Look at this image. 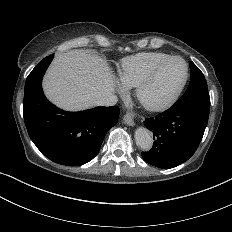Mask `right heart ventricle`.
Wrapping results in <instances>:
<instances>
[{
	"label": "right heart ventricle",
	"instance_id": "e07e8e85",
	"mask_svg": "<svg viewBox=\"0 0 232 232\" xmlns=\"http://www.w3.org/2000/svg\"><path fill=\"white\" fill-rule=\"evenodd\" d=\"M170 55L158 51H142L123 57L116 69V79L122 89L133 88L155 65Z\"/></svg>",
	"mask_w": 232,
	"mask_h": 232
}]
</instances>
